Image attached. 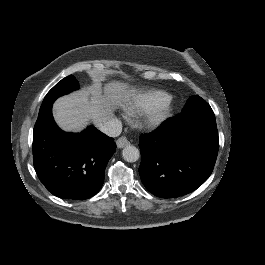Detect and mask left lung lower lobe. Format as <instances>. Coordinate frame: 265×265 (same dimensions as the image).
Wrapping results in <instances>:
<instances>
[{
    "mask_svg": "<svg viewBox=\"0 0 265 265\" xmlns=\"http://www.w3.org/2000/svg\"><path fill=\"white\" fill-rule=\"evenodd\" d=\"M142 183L152 194L174 198L200 187L211 175L219 149L213 110L208 103L167 119L140 136Z\"/></svg>",
    "mask_w": 265,
    "mask_h": 265,
    "instance_id": "0a47b994",
    "label": "left lung lower lobe"
}]
</instances>
